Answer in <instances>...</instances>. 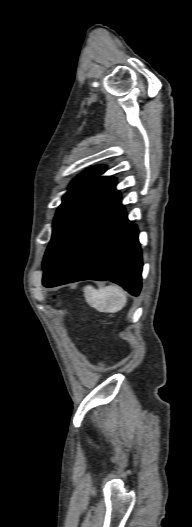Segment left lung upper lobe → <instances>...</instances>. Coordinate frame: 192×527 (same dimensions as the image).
<instances>
[{
    "mask_svg": "<svg viewBox=\"0 0 192 527\" xmlns=\"http://www.w3.org/2000/svg\"><path fill=\"white\" fill-rule=\"evenodd\" d=\"M105 166L92 167L79 175L62 199L53 223V234L43 260L46 275L78 229L110 195L115 179L99 177Z\"/></svg>",
    "mask_w": 192,
    "mask_h": 527,
    "instance_id": "left-lung-upper-lobe-1",
    "label": "left lung upper lobe"
}]
</instances>
